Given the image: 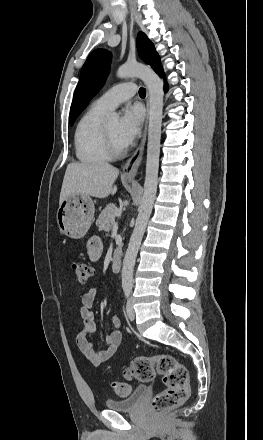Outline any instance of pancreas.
<instances>
[{
  "label": "pancreas",
  "instance_id": "pancreas-1",
  "mask_svg": "<svg viewBox=\"0 0 263 440\" xmlns=\"http://www.w3.org/2000/svg\"><path fill=\"white\" fill-rule=\"evenodd\" d=\"M119 209L112 203L108 204L105 209L100 213L99 218L96 221V224L105 231H109L112 224L115 221L116 214L115 212ZM121 251V246L115 250V253Z\"/></svg>",
  "mask_w": 263,
  "mask_h": 440
}]
</instances>
